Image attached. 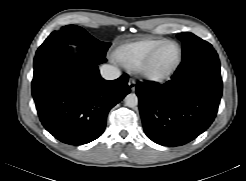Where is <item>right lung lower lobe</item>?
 Listing matches in <instances>:
<instances>
[{
    "label": "right lung lower lobe",
    "instance_id": "right-lung-lower-lobe-1",
    "mask_svg": "<svg viewBox=\"0 0 246 181\" xmlns=\"http://www.w3.org/2000/svg\"><path fill=\"white\" fill-rule=\"evenodd\" d=\"M71 51L61 43L35 56L32 95L46 130L63 143L82 145L103 133L109 110L130 88L126 74L113 81L100 76L98 64L106 59L80 49L75 60Z\"/></svg>",
    "mask_w": 246,
    "mask_h": 181
}]
</instances>
